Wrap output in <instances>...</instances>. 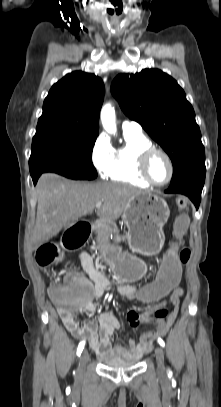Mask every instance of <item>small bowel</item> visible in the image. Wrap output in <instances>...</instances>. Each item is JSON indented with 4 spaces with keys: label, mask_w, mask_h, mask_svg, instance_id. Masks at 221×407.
Returning <instances> with one entry per match:
<instances>
[{
    "label": "small bowel",
    "mask_w": 221,
    "mask_h": 407,
    "mask_svg": "<svg viewBox=\"0 0 221 407\" xmlns=\"http://www.w3.org/2000/svg\"><path fill=\"white\" fill-rule=\"evenodd\" d=\"M78 260L90 281L92 287L84 295V309L89 315L96 313V306L91 302V298H101L104 293L114 288L115 291L122 297L134 300L138 299L136 294L140 291L137 286L129 282H122L116 287H113L108 279L101 274L95 267L92 257L82 252L78 255ZM159 271L155 268L154 273ZM157 277V276H156ZM149 283V282H147ZM169 296L172 303V310L166 313L165 316L157 318L155 327L152 331L144 333L140 342L136 343L134 340L129 341V346H113L110 338L114 331L118 328L119 323L112 310H107L101 313L98 320H89L86 323H81L73 313L60 312L61 318L68 329V331L78 339L87 340L90 348L97 352L100 356L107 358H121L125 360L140 359L145 353L149 352L153 341L160 336L166 334L170 326L173 324L179 312V304L183 294L180 286H176V292H165ZM139 300V299H138ZM142 301V300H140ZM167 304L166 298H161L152 308L151 305H136L135 309H131L128 313V321L132 326L145 325L147 314L153 313L155 309L160 307L164 310ZM144 313V314H143Z\"/></svg>",
    "instance_id": "obj_1"
}]
</instances>
